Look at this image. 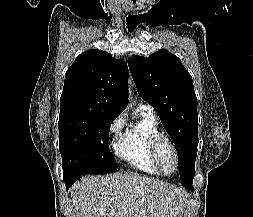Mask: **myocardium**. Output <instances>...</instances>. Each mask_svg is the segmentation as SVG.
I'll return each instance as SVG.
<instances>
[{
	"label": "myocardium",
	"mask_w": 253,
	"mask_h": 217,
	"mask_svg": "<svg viewBox=\"0 0 253 217\" xmlns=\"http://www.w3.org/2000/svg\"><path fill=\"white\" fill-rule=\"evenodd\" d=\"M165 146L171 150L173 155L174 169L172 172H166L161 162V151ZM151 154L156 166L158 167V170L162 175L170 176L178 170L179 167L178 151L174 142L170 138L162 135L156 138L151 145Z\"/></svg>",
	"instance_id": "myocardium-1"
}]
</instances>
